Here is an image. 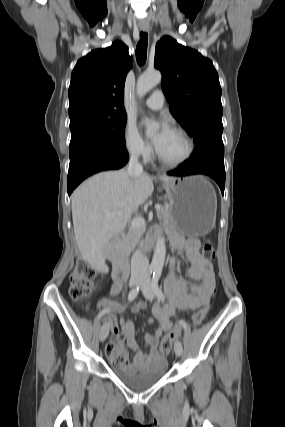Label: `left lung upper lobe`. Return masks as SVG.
I'll use <instances>...</instances> for the list:
<instances>
[{
    "label": "left lung upper lobe",
    "instance_id": "left-lung-upper-lobe-1",
    "mask_svg": "<svg viewBox=\"0 0 285 427\" xmlns=\"http://www.w3.org/2000/svg\"><path fill=\"white\" fill-rule=\"evenodd\" d=\"M154 66L172 115L196 146L222 141L221 87L212 61L165 36L156 44Z\"/></svg>",
    "mask_w": 285,
    "mask_h": 427
}]
</instances>
